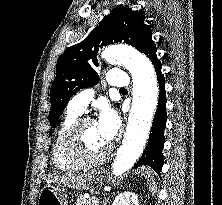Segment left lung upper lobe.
<instances>
[{
	"label": "left lung upper lobe",
	"instance_id": "left-lung-upper-lobe-1",
	"mask_svg": "<svg viewBox=\"0 0 222 205\" xmlns=\"http://www.w3.org/2000/svg\"><path fill=\"white\" fill-rule=\"evenodd\" d=\"M151 35V28L144 23L142 13L128 7H116L83 41L67 48L57 61L56 78L50 90L51 128L55 127L69 99L77 91L98 82V73L91 63L98 66L96 55L99 48L125 42L141 51Z\"/></svg>",
	"mask_w": 222,
	"mask_h": 205
}]
</instances>
